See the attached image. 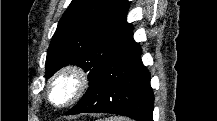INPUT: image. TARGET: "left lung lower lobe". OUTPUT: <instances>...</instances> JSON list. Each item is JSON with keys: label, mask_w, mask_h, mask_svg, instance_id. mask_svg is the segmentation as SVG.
I'll return each mask as SVG.
<instances>
[{"label": "left lung lower lobe", "mask_w": 217, "mask_h": 121, "mask_svg": "<svg viewBox=\"0 0 217 121\" xmlns=\"http://www.w3.org/2000/svg\"><path fill=\"white\" fill-rule=\"evenodd\" d=\"M141 54L132 27L97 72L82 99L67 114L104 112L153 121L154 95Z\"/></svg>", "instance_id": "0a47b994"}]
</instances>
